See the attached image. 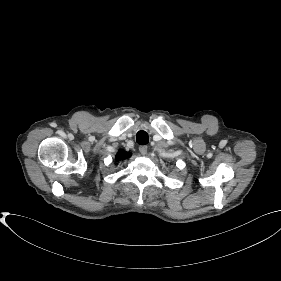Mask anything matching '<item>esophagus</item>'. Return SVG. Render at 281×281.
Returning a JSON list of instances; mask_svg holds the SVG:
<instances>
[{"label":"esophagus","mask_w":281,"mask_h":281,"mask_svg":"<svg viewBox=\"0 0 281 281\" xmlns=\"http://www.w3.org/2000/svg\"><path fill=\"white\" fill-rule=\"evenodd\" d=\"M147 149H148L147 146H140V147H139V151H140V153H141L142 155H146Z\"/></svg>","instance_id":"1"}]
</instances>
